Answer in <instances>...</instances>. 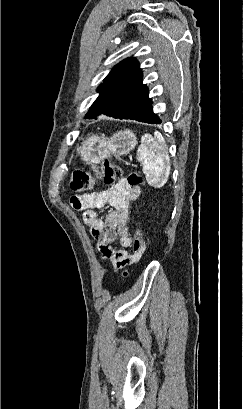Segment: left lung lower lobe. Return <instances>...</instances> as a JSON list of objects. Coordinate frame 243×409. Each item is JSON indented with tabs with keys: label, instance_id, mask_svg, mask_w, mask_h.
Segmentation results:
<instances>
[{
	"label": "left lung lower lobe",
	"instance_id": "1",
	"mask_svg": "<svg viewBox=\"0 0 243 409\" xmlns=\"http://www.w3.org/2000/svg\"><path fill=\"white\" fill-rule=\"evenodd\" d=\"M104 114L118 119H131L150 124L161 123L158 116L153 113L152 100L148 96L143 101L133 106H128L125 112L120 115H115L111 112H105Z\"/></svg>",
	"mask_w": 243,
	"mask_h": 409
}]
</instances>
